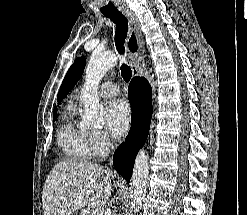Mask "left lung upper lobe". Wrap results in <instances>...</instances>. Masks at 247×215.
Masks as SVG:
<instances>
[{
    "instance_id": "obj_1",
    "label": "left lung upper lobe",
    "mask_w": 247,
    "mask_h": 215,
    "mask_svg": "<svg viewBox=\"0 0 247 215\" xmlns=\"http://www.w3.org/2000/svg\"><path fill=\"white\" fill-rule=\"evenodd\" d=\"M85 65L86 59L84 57H80L77 58L73 65L69 68L57 95L58 103H61V101L66 97V95L77 84V82L83 74Z\"/></svg>"
}]
</instances>
